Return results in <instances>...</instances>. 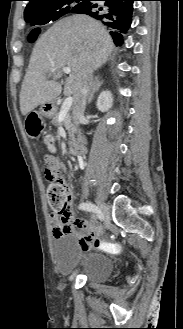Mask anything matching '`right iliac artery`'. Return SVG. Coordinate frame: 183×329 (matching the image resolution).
Returning <instances> with one entry per match:
<instances>
[{"instance_id":"right-iliac-artery-1","label":"right iliac artery","mask_w":183,"mask_h":329,"mask_svg":"<svg viewBox=\"0 0 183 329\" xmlns=\"http://www.w3.org/2000/svg\"><path fill=\"white\" fill-rule=\"evenodd\" d=\"M79 209L93 212L100 220H103L101 211L91 203H82L79 205Z\"/></svg>"}]
</instances>
